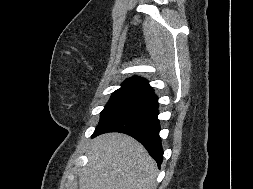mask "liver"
Wrapping results in <instances>:
<instances>
[{"label": "liver", "instance_id": "6515ba94", "mask_svg": "<svg viewBox=\"0 0 253 189\" xmlns=\"http://www.w3.org/2000/svg\"><path fill=\"white\" fill-rule=\"evenodd\" d=\"M80 189H156L157 166L134 138L107 133L93 140Z\"/></svg>", "mask_w": 253, "mask_h": 189}]
</instances>
